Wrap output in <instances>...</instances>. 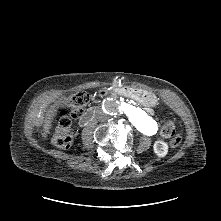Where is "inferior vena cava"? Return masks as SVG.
Instances as JSON below:
<instances>
[{"label": "inferior vena cava", "mask_w": 221, "mask_h": 221, "mask_svg": "<svg viewBox=\"0 0 221 221\" xmlns=\"http://www.w3.org/2000/svg\"><path fill=\"white\" fill-rule=\"evenodd\" d=\"M97 119H98L99 121H106V120L108 119V116H107L106 114H104V113H99V114L97 115Z\"/></svg>", "instance_id": "obj_1"}]
</instances>
